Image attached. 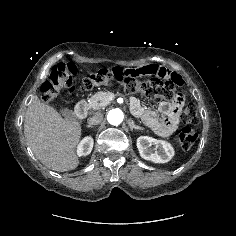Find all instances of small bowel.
<instances>
[{
    "label": "small bowel",
    "instance_id": "c3829d8e",
    "mask_svg": "<svg viewBox=\"0 0 236 236\" xmlns=\"http://www.w3.org/2000/svg\"><path fill=\"white\" fill-rule=\"evenodd\" d=\"M153 75L170 78L177 85L181 84V79L173 75L167 69L157 65H147L142 68L133 66L131 68L122 67L114 70V77L119 80L140 81L146 82L152 78ZM182 102L178 105H170L163 103L161 110L165 117H158L154 112L147 110L141 106L139 101H133L132 108L134 113L142 119V121L156 131L161 136H171L177 128L176 115L180 109Z\"/></svg>",
    "mask_w": 236,
    "mask_h": 236
}]
</instances>
